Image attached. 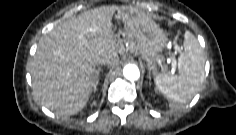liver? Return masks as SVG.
Here are the masks:
<instances>
[{
  "mask_svg": "<svg viewBox=\"0 0 236 135\" xmlns=\"http://www.w3.org/2000/svg\"><path fill=\"white\" fill-rule=\"evenodd\" d=\"M120 8L112 5L86 11L41 41L33 78L38 96L48 107L61 112L82 110L92 91L95 67L118 64L119 47L114 40L112 18ZM135 13L129 23H124L131 33L123 34L132 51L137 46L131 35L137 37L154 24L145 14Z\"/></svg>",
  "mask_w": 236,
  "mask_h": 135,
  "instance_id": "obj_1",
  "label": "liver"
}]
</instances>
